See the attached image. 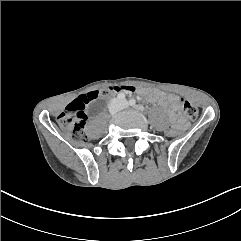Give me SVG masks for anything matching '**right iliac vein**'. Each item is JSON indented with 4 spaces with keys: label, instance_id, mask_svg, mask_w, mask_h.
Segmentation results:
<instances>
[{
    "label": "right iliac vein",
    "instance_id": "obj_1",
    "mask_svg": "<svg viewBox=\"0 0 241 241\" xmlns=\"http://www.w3.org/2000/svg\"><path fill=\"white\" fill-rule=\"evenodd\" d=\"M114 112H115V108H112V109H111V113H114Z\"/></svg>",
    "mask_w": 241,
    "mask_h": 241
}]
</instances>
